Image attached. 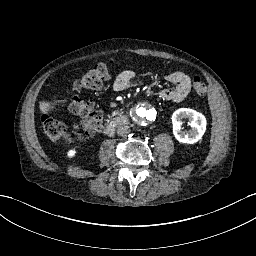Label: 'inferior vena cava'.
Here are the masks:
<instances>
[{
	"mask_svg": "<svg viewBox=\"0 0 256 256\" xmlns=\"http://www.w3.org/2000/svg\"><path fill=\"white\" fill-rule=\"evenodd\" d=\"M130 133V128L127 125H120L117 127V134L120 136H126Z\"/></svg>",
	"mask_w": 256,
	"mask_h": 256,
	"instance_id": "602c4592",
	"label": "inferior vena cava"
}]
</instances>
